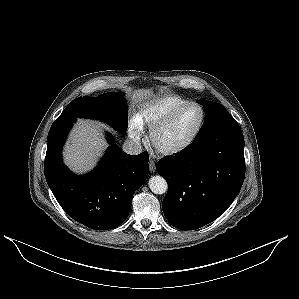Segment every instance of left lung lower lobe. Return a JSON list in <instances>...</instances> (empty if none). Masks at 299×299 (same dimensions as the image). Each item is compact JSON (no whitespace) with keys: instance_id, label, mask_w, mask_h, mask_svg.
<instances>
[{"instance_id":"obj_1","label":"left lung lower lobe","mask_w":299,"mask_h":299,"mask_svg":"<svg viewBox=\"0 0 299 299\" xmlns=\"http://www.w3.org/2000/svg\"><path fill=\"white\" fill-rule=\"evenodd\" d=\"M168 182L162 202L176 228L195 230L218 218L239 193L245 177L244 138L231 116L175 156L156 165Z\"/></svg>"}]
</instances>
